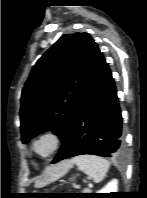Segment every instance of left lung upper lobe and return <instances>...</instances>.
I'll list each match as a JSON object with an SVG mask.
<instances>
[{"label": "left lung upper lobe", "mask_w": 147, "mask_h": 198, "mask_svg": "<svg viewBox=\"0 0 147 198\" xmlns=\"http://www.w3.org/2000/svg\"><path fill=\"white\" fill-rule=\"evenodd\" d=\"M98 46L88 33L64 34L34 65L21 96V139L66 136L93 74Z\"/></svg>", "instance_id": "left-lung-upper-lobe-1"}]
</instances>
